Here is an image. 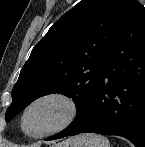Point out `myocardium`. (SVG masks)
<instances>
[{
    "instance_id": "f54148a6",
    "label": "myocardium",
    "mask_w": 145,
    "mask_h": 147,
    "mask_svg": "<svg viewBox=\"0 0 145 147\" xmlns=\"http://www.w3.org/2000/svg\"><path fill=\"white\" fill-rule=\"evenodd\" d=\"M48 101H58L66 107L67 114L64 120L57 126L50 129H46L38 132H33L28 130V128L26 127V118L30 110L33 109L35 106ZM78 113H79L78 103L71 95L62 91H50L34 97L24 106L20 114L19 125L21 131L26 136L31 138H41L59 133L65 130L66 128H68L76 120Z\"/></svg>"
}]
</instances>
